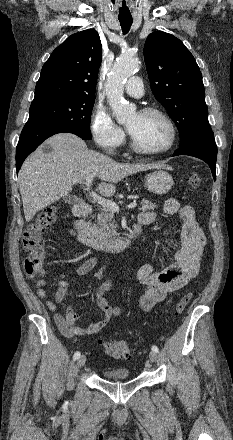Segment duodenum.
<instances>
[{
  "mask_svg": "<svg viewBox=\"0 0 233 440\" xmlns=\"http://www.w3.org/2000/svg\"><path fill=\"white\" fill-rule=\"evenodd\" d=\"M93 211V207L90 204L83 201L77 203L74 206L76 220L74 221L73 228L76 239L83 245L94 249L112 252L124 250L140 236L142 227L150 223L149 221L139 220L125 235L117 238H103L96 235L86 222V219L93 214Z\"/></svg>",
  "mask_w": 233,
  "mask_h": 440,
  "instance_id": "410a0bca",
  "label": "duodenum"
}]
</instances>
